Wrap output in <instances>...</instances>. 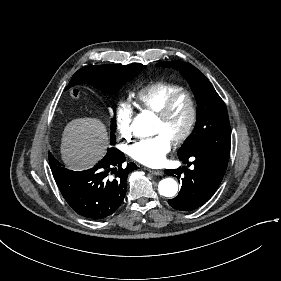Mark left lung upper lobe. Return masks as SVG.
I'll return each instance as SVG.
<instances>
[{"instance_id": "obj_1", "label": "left lung upper lobe", "mask_w": 281, "mask_h": 281, "mask_svg": "<svg viewBox=\"0 0 281 281\" xmlns=\"http://www.w3.org/2000/svg\"><path fill=\"white\" fill-rule=\"evenodd\" d=\"M157 65L178 69L187 79L197 100L195 128L179 149L178 156L203 151L228 161L231 146L228 113L212 84L190 63L168 61Z\"/></svg>"}]
</instances>
